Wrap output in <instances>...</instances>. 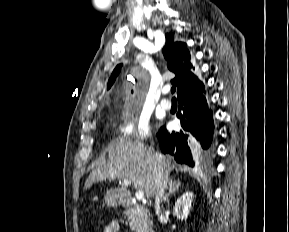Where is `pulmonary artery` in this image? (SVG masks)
<instances>
[{
  "label": "pulmonary artery",
  "instance_id": "obj_1",
  "mask_svg": "<svg viewBox=\"0 0 289 232\" xmlns=\"http://www.w3.org/2000/svg\"><path fill=\"white\" fill-rule=\"evenodd\" d=\"M168 92H169L168 88H164L163 89V93L164 94H167ZM160 105L165 110H169L171 108V106H172L171 101L169 99H167V98H163L161 100V102H160Z\"/></svg>",
  "mask_w": 289,
  "mask_h": 232
}]
</instances>
